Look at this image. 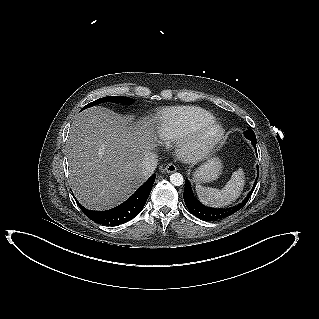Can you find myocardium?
<instances>
[{
	"mask_svg": "<svg viewBox=\"0 0 319 319\" xmlns=\"http://www.w3.org/2000/svg\"><path fill=\"white\" fill-rule=\"evenodd\" d=\"M225 130L215 119L198 125L178 144L179 156L189 162L206 159L222 141Z\"/></svg>",
	"mask_w": 319,
	"mask_h": 319,
	"instance_id": "obj_1",
	"label": "myocardium"
}]
</instances>
